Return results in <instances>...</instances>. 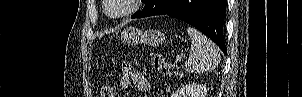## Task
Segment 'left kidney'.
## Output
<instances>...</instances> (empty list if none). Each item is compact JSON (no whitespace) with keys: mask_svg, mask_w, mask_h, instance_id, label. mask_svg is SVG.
Listing matches in <instances>:
<instances>
[{"mask_svg":"<svg viewBox=\"0 0 302 97\" xmlns=\"http://www.w3.org/2000/svg\"><path fill=\"white\" fill-rule=\"evenodd\" d=\"M207 87L206 85L189 84L172 94V97H206Z\"/></svg>","mask_w":302,"mask_h":97,"instance_id":"left-kidney-1","label":"left kidney"}]
</instances>
